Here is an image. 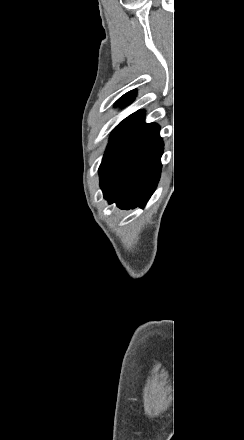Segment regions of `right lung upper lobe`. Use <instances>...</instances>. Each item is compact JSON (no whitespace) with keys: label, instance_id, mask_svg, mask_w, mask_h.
Wrapping results in <instances>:
<instances>
[{"label":"right lung upper lobe","instance_id":"obj_1","mask_svg":"<svg viewBox=\"0 0 244 440\" xmlns=\"http://www.w3.org/2000/svg\"><path fill=\"white\" fill-rule=\"evenodd\" d=\"M135 95H136L135 91H130V92L126 93L125 95H123L120 99H124V98L133 99V97Z\"/></svg>","mask_w":244,"mask_h":440}]
</instances>
